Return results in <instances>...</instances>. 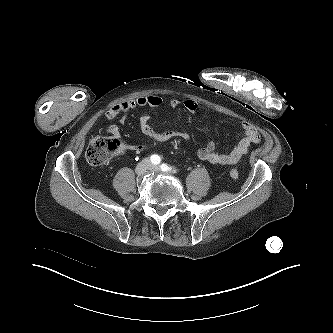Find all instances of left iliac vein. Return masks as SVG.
<instances>
[{"label":"left iliac vein","mask_w":333,"mask_h":333,"mask_svg":"<svg viewBox=\"0 0 333 333\" xmlns=\"http://www.w3.org/2000/svg\"><path fill=\"white\" fill-rule=\"evenodd\" d=\"M150 170L154 172H159L161 169L159 166L151 165Z\"/></svg>","instance_id":"1"}]
</instances>
